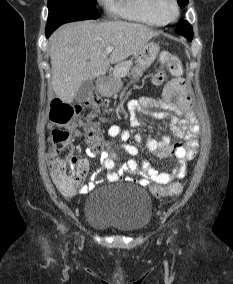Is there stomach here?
Segmentation results:
<instances>
[{"label":"stomach","mask_w":233,"mask_h":284,"mask_svg":"<svg viewBox=\"0 0 233 284\" xmlns=\"http://www.w3.org/2000/svg\"><path fill=\"white\" fill-rule=\"evenodd\" d=\"M160 47L154 42H148L145 46L135 53L136 66L131 70L130 75L133 80L139 79L143 72L154 62L158 56ZM122 87L120 78L114 73L98 86V90L105 96H112L119 92Z\"/></svg>","instance_id":"0dacf381"}]
</instances>
